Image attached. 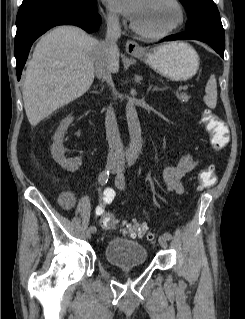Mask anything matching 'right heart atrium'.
I'll list each match as a JSON object with an SVG mask.
<instances>
[{"instance_id": "1", "label": "right heart atrium", "mask_w": 245, "mask_h": 319, "mask_svg": "<svg viewBox=\"0 0 245 319\" xmlns=\"http://www.w3.org/2000/svg\"><path fill=\"white\" fill-rule=\"evenodd\" d=\"M106 16L111 26H116L118 24V15L115 11H113L112 9H108Z\"/></svg>"}]
</instances>
